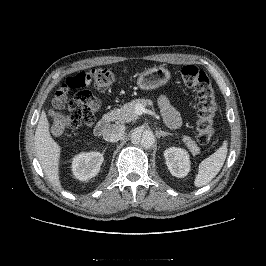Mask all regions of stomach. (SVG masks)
I'll list each match as a JSON object with an SVG mask.
<instances>
[{"instance_id":"1","label":"stomach","mask_w":266,"mask_h":266,"mask_svg":"<svg viewBox=\"0 0 266 266\" xmlns=\"http://www.w3.org/2000/svg\"><path fill=\"white\" fill-rule=\"evenodd\" d=\"M171 78L169 70L163 65L144 70L138 75L137 85L142 90H155L166 85Z\"/></svg>"}]
</instances>
